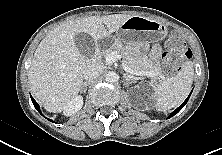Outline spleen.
<instances>
[{"label": "spleen", "instance_id": "1", "mask_svg": "<svg viewBox=\"0 0 222 155\" xmlns=\"http://www.w3.org/2000/svg\"><path fill=\"white\" fill-rule=\"evenodd\" d=\"M192 62H187L179 73L161 81L154 88L157 111H167L180 105L187 97L193 83Z\"/></svg>", "mask_w": 222, "mask_h": 155}]
</instances>
